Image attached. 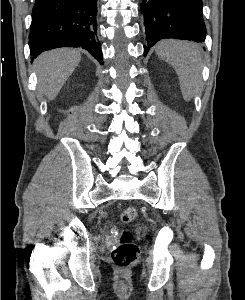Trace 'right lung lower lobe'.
<instances>
[{"instance_id":"right-lung-lower-lobe-1","label":"right lung lower lobe","mask_w":245,"mask_h":300,"mask_svg":"<svg viewBox=\"0 0 245 300\" xmlns=\"http://www.w3.org/2000/svg\"><path fill=\"white\" fill-rule=\"evenodd\" d=\"M97 0H36L29 46L33 57L57 47H82L103 64L97 39Z\"/></svg>"}]
</instances>
